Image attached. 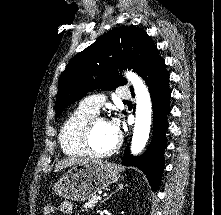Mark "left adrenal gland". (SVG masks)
<instances>
[{
	"label": "left adrenal gland",
	"mask_w": 221,
	"mask_h": 215,
	"mask_svg": "<svg viewBox=\"0 0 221 215\" xmlns=\"http://www.w3.org/2000/svg\"><path fill=\"white\" fill-rule=\"evenodd\" d=\"M121 189H123V184H118V188L115 190V192H118ZM115 192H112L105 200L109 199Z\"/></svg>",
	"instance_id": "obj_1"
}]
</instances>
